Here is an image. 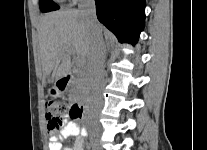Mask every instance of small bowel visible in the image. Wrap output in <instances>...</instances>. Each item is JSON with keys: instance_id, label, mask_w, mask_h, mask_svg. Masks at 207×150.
<instances>
[{"instance_id": "1", "label": "small bowel", "mask_w": 207, "mask_h": 150, "mask_svg": "<svg viewBox=\"0 0 207 150\" xmlns=\"http://www.w3.org/2000/svg\"><path fill=\"white\" fill-rule=\"evenodd\" d=\"M74 137L75 141L72 147L64 146L67 138ZM87 132L74 121L65 122L58 133L50 135L49 150H84L85 138Z\"/></svg>"}]
</instances>
